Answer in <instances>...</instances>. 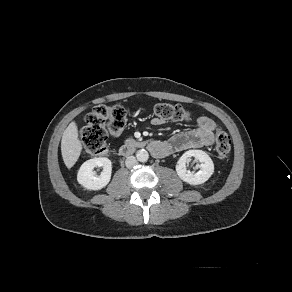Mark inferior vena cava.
Instances as JSON below:
<instances>
[{"instance_id":"obj_1","label":"inferior vena cava","mask_w":292,"mask_h":292,"mask_svg":"<svg viewBox=\"0 0 292 292\" xmlns=\"http://www.w3.org/2000/svg\"><path fill=\"white\" fill-rule=\"evenodd\" d=\"M125 165L127 168H132L137 165V159L135 156H129L126 158Z\"/></svg>"}]
</instances>
